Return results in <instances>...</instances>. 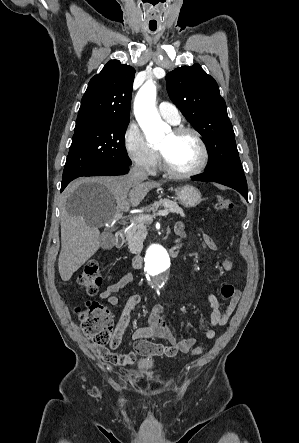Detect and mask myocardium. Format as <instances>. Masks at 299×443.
I'll list each match as a JSON object with an SVG mask.
<instances>
[{
    "label": "myocardium",
    "instance_id": "obj_1",
    "mask_svg": "<svg viewBox=\"0 0 299 443\" xmlns=\"http://www.w3.org/2000/svg\"><path fill=\"white\" fill-rule=\"evenodd\" d=\"M172 133L175 136H179L182 134H191L195 138V140L197 141V143L199 145L200 159H199L198 164L193 169L188 170V171H177L169 166V164L167 163V161L165 159L164 154L160 150H158V156H159V160H160L161 169L170 177L177 178V179L190 178V177L200 174L205 169V167L208 163L209 154H208V149H207L206 143L203 140L199 131L196 130L195 128H192V127L180 126V127L173 129Z\"/></svg>",
    "mask_w": 299,
    "mask_h": 443
}]
</instances>
